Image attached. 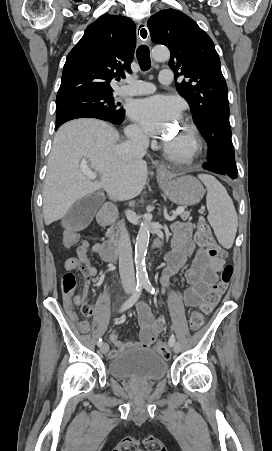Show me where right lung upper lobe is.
Segmentation results:
<instances>
[{
	"mask_svg": "<svg viewBox=\"0 0 272 451\" xmlns=\"http://www.w3.org/2000/svg\"><path fill=\"white\" fill-rule=\"evenodd\" d=\"M135 46L136 27L130 18L99 17L68 54L56 99L112 94L110 81L132 72Z\"/></svg>",
	"mask_w": 272,
	"mask_h": 451,
	"instance_id": "right-lung-upper-lobe-1",
	"label": "right lung upper lobe"
}]
</instances>
